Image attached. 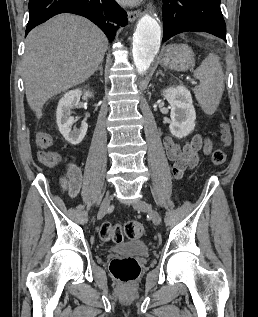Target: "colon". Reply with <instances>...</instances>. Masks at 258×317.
<instances>
[{"mask_svg":"<svg viewBox=\"0 0 258 317\" xmlns=\"http://www.w3.org/2000/svg\"><path fill=\"white\" fill-rule=\"evenodd\" d=\"M232 140L231 130L228 123L220 124V141L224 147L230 145ZM227 154L223 148L215 149L211 155L213 166L225 163ZM39 161L46 166H56L61 161V156L53 150H40ZM145 233L144 225L138 221H129L122 224L104 222L99 229V236L105 242L121 243L124 238L139 239ZM110 272L113 277L122 284L134 282L140 274V265L133 258H113L110 262Z\"/></svg>","mask_w":258,"mask_h":317,"instance_id":"colon-1","label":"colon"}]
</instances>
